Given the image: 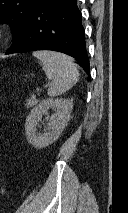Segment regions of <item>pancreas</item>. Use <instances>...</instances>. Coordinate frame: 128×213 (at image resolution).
Segmentation results:
<instances>
[{
  "label": "pancreas",
  "instance_id": "cf45deb5",
  "mask_svg": "<svg viewBox=\"0 0 128 213\" xmlns=\"http://www.w3.org/2000/svg\"><path fill=\"white\" fill-rule=\"evenodd\" d=\"M38 103V99H36L35 97H31L30 99H27L26 100V107L27 108H31L33 107L34 105H36Z\"/></svg>",
  "mask_w": 128,
  "mask_h": 213
}]
</instances>
